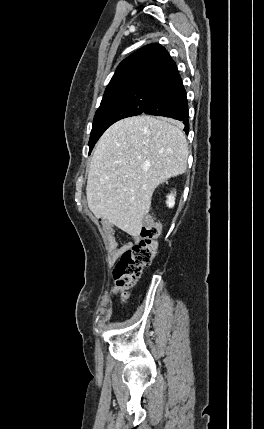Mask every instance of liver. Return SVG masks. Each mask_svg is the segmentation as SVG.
Instances as JSON below:
<instances>
[{
    "mask_svg": "<svg viewBox=\"0 0 264 429\" xmlns=\"http://www.w3.org/2000/svg\"><path fill=\"white\" fill-rule=\"evenodd\" d=\"M188 144L182 125L148 115L122 119L110 126L93 153L86 195L88 207L137 237L154 190L187 168Z\"/></svg>",
    "mask_w": 264,
    "mask_h": 429,
    "instance_id": "1",
    "label": "liver"
}]
</instances>
